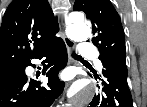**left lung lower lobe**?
<instances>
[{
	"label": "left lung lower lobe",
	"instance_id": "1",
	"mask_svg": "<svg viewBox=\"0 0 147 107\" xmlns=\"http://www.w3.org/2000/svg\"><path fill=\"white\" fill-rule=\"evenodd\" d=\"M100 60L104 67L103 87L95 94L88 107H133L127 83L126 54L111 53Z\"/></svg>",
	"mask_w": 147,
	"mask_h": 107
}]
</instances>
